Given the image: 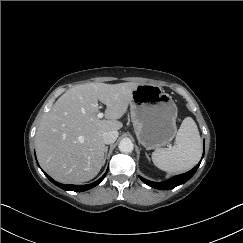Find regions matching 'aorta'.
Here are the masks:
<instances>
[{"label":"aorta","mask_w":243,"mask_h":243,"mask_svg":"<svg viewBox=\"0 0 243 243\" xmlns=\"http://www.w3.org/2000/svg\"><path fill=\"white\" fill-rule=\"evenodd\" d=\"M118 147L119 150L123 153H131L134 149L132 141L128 138L122 139Z\"/></svg>","instance_id":"aorta-1"}]
</instances>
